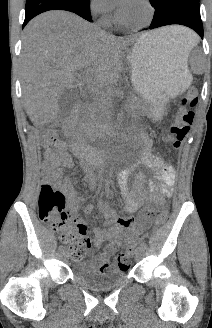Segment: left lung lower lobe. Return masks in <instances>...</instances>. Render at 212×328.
<instances>
[{
	"label": "left lung lower lobe",
	"mask_w": 212,
	"mask_h": 328,
	"mask_svg": "<svg viewBox=\"0 0 212 328\" xmlns=\"http://www.w3.org/2000/svg\"><path fill=\"white\" fill-rule=\"evenodd\" d=\"M155 8L154 18L148 29L180 24L190 27L203 39V25L199 0H149Z\"/></svg>",
	"instance_id": "obj_1"
}]
</instances>
